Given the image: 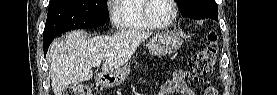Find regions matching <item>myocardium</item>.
<instances>
[{"label": "myocardium", "instance_id": "1", "mask_svg": "<svg viewBox=\"0 0 277 95\" xmlns=\"http://www.w3.org/2000/svg\"><path fill=\"white\" fill-rule=\"evenodd\" d=\"M170 3L172 4L174 11L171 19L165 23H158L155 21L151 15L149 14V7L152 2V0H146L145 5H144V17L148 21V23L154 27V28H168L174 24L176 21L177 15H178V8H177V3L175 0H169Z\"/></svg>", "mask_w": 277, "mask_h": 95}]
</instances>
